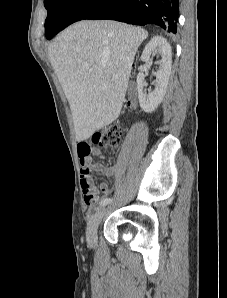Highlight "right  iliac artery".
I'll list each match as a JSON object with an SVG mask.
<instances>
[{
	"mask_svg": "<svg viewBox=\"0 0 227 298\" xmlns=\"http://www.w3.org/2000/svg\"><path fill=\"white\" fill-rule=\"evenodd\" d=\"M112 201V199L110 198H104L101 202H100V207H104L107 204H109Z\"/></svg>",
	"mask_w": 227,
	"mask_h": 298,
	"instance_id": "obj_1",
	"label": "right iliac artery"
}]
</instances>
